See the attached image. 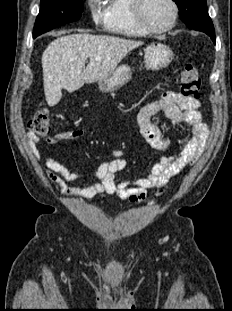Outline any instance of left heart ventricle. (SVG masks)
<instances>
[{"label": "left heart ventricle", "mask_w": 232, "mask_h": 311, "mask_svg": "<svg viewBox=\"0 0 232 311\" xmlns=\"http://www.w3.org/2000/svg\"><path fill=\"white\" fill-rule=\"evenodd\" d=\"M143 15L150 26L161 28L170 23L173 10L168 0H144Z\"/></svg>", "instance_id": "obj_1"}]
</instances>
